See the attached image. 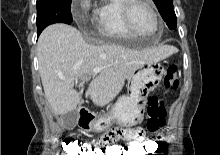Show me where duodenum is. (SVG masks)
I'll return each mask as SVG.
<instances>
[{
  "mask_svg": "<svg viewBox=\"0 0 220 155\" xmlns=\"http://www.w3.org/2000/svg\"><path fill=\"white\" fill-rule=\"evenodd\" d=\"M93 115L87 108H80L78 111V123L81 126L88 125L92 120Z\"/></svg>",
  "mask_w": 220,
  "mask_h": 155,
  "instance_id": "410a0bca",
  "label": "duodenum"
}]
</instances>
